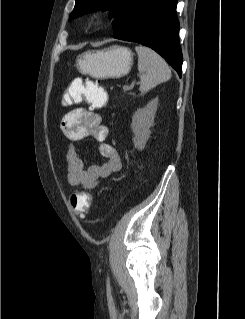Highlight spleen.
Wrapping results in <instances>:
<instances>
[{
    "instance_id": "3e777b00",
    "label": "spleen",
    "mask_w": 245,
    "mask_h": 319,
    "mask_svg": "<svg viewBox=\"0 0 245 319\" xmlns=\"http://www.w3.org/2000/svg\"><path fill=\"white\" fill-rule=\"evenodd\" d=\"M135 51L138 54L141 93H146L171 78L170 67L154 50L140 45L135 47Z\"/></svg>"
}]
</instances>
